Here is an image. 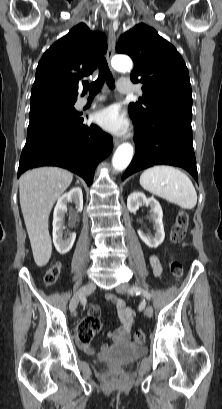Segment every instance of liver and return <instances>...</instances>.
<instances>
[{
    "label": "liver",
    "instance_id": "liver-1",
    "mask_svg": "<svg viewBox=\"0 0 222 409\" xmlns=\"http://www.w3.org/2000/svg\"><path fill=\"white\" fill-rule=\"evenodd\" d=\"M72 179V173L57 167L32 169L19 179L20 206L34 261L39 267L45 266L51 258L52 242L48 230L51 209Z\"/></svg>",
    "mask_w": 222,
    "mask_h": 409
}]
</instances>
